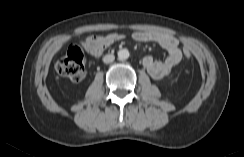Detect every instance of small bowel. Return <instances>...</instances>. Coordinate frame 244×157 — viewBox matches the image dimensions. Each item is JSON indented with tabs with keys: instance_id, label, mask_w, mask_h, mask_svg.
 <instances>
[{
	"instance_id": "obj_1",
	"label": "small bowel",
	"mask_w": 244,
	"mask_h": 157,
	"mask_svg": "<svg viewBox=\"0 0 244 157\" xmlns=\"http://www.w3.org/2000/svg\"><path fill=\"white\" fill-rule=\"evenodd\" d=\"M119 40L123 38L122 35L118 34ZM91 37H86L81 40V44L87 50L89 54L94 57L99 56L105 48H92ZM132 39L137 42H153L161 46L168 52V56L165 60H155L152 56H145L143 58V64L146 67L149 74L155 80L165 79L171 71L180 63L182 59V50L179 45V41L163 32H134L131 35Z\"/></svg>"
}]
</instances>
